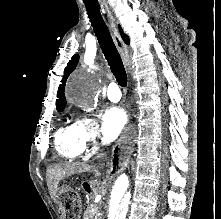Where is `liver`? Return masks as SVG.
I'll return each mask as SVG.
<instances>
[{
  "instance_id": "6515ba94",
  "label": "liver",
  "mask_w": 221,
  "mask_h": 219,
  "mask_svg": "<svg viewBox=\"0 0 221 219\" xmlns=\"http://www.w3.org/2000/svg\"><path fill=\"white\" fill-rule=\"evenodd\" d=\"M93 169V166L81 162H65L47 169V185L51 198L56 201L58 197V185L64 178L75 174L85 173ZM102 193L105 190L102 188Z\"/></svg>"
}]
</instances>
